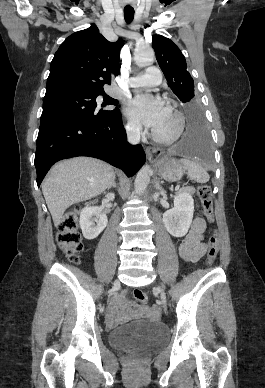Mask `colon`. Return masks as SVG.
I'll return each mask as SVG.
<instances>
[{
  "instance_id": "obj_1",
  "label": "colon",
  "mask_w": 265,
  "mask_h": 388,
  "mask_svg": "<svg viewBox=\"0 0 265 388\" xmlns=\"http://www.w3.org/2000/svg\"><path fill=\"white\" fill-rule=\"evenodd\" d=\"M198 198L201 204L203 215L206 219L213 223L215 220L213 210V200L211 189L207 185H201L197 190ZM79 209H73L67 212L59 224L58 243L62 251L74 263L79 262V253L83 248L82 238L79 232L78 224ZM219 239L216 233L212 234L208 239V251L206 254V262L213 263L219 253ZM134 297L139 302L147 301V294L140 290H134Z\"/></svg>"
}]
</instances>
